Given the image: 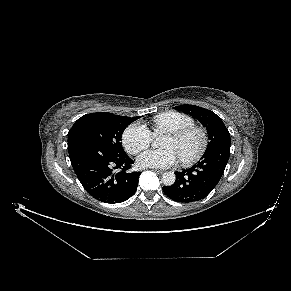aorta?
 <instances>
[{
  "label": "aorta",
  "mask_w": 291,
  "mask_h": 291,
  "mask_svg": "<svg viewBox=\"0 0 291 291\" xmlns=\"http://www.w3.org/2000/svg\"><path fill=\"white\" fill-rule=\"evenodd\" d=\"M155 145H156V144L154 143V146H155ZM175 180H176V175L174 174V172H165V173H163V175H162V182H163V184L166 185V186H171V185H173L174 182H175Z\"/></svg>",
  "instance_id": "obj_1"
}]
</instances>
